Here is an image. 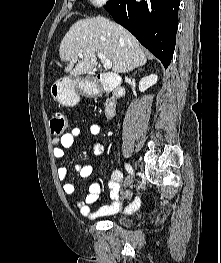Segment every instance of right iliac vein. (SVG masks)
<instances>
[{
	"mask_svg": "<svg viewBox=\"0 0 221 263\" xmlns=\"http://www.w3.org/2000/svg\"><path fill=\"white\" fill-rule=\"evenodd\" d=\"M132 180H133V175L131 174V175L127 178L126 184H127V185H130L131 182H132Z\"/></svg>",
	"mask_w": 221,
	"mask_h": 263,
	"instance_id": "obj_1",
	"label": "right iliac vein"
}]
</instances>
